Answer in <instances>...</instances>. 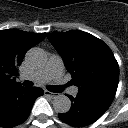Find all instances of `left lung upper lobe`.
Here are the masks:
<instances>
[{
    "label": "left lung upper lobe",
    "instance_id": "5c2ea615",
    "mask_svg": "<svg viewBox=\"0 0 128 128\" xmlns=\"http://www.w3.org/2000/svg\"><path fill=\"white\" fill-rule=\"evenodd\" d=\"M47 37L63 58L72 75L71 83L79 91L116 93L119 66L102 40L78 30L47 33Z\"/></svg>",
    "mask_w": 128,
    "mask_h": 128
}]
</instances>
